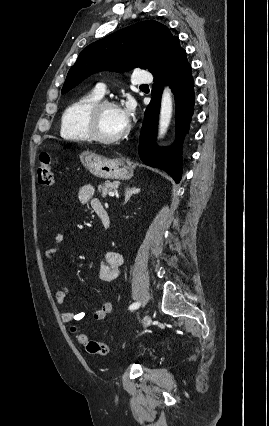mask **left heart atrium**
I'll return each instance as SVG.
<instances>
[{
	"instance_id": "obj_1",
	"label": "left heart atrium",
	"mask_w": 269,
	"mask_h": 426,
	"mask_svg": "<svg viewBox=\"0 0 269 426\" xmlns=\"http://www.w3.org/2000/svg\"><path fill=\"white\" fill-rule=\"evenodd\" d=\"M120 112L123 121L128 124L130 117L133 113V107L131 105H127L125 108L120 109Z\"/></svg>"
}]
</instances>
